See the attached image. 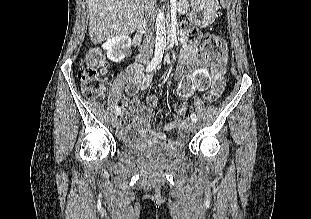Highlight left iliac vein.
<instances>
[{
  "label": "left iliac vein",
  "instance_id": "left-iliac-vein-1",
  "mask_svg": "<svg viewBox=\"0 0 311 219\" xmlns=\"http://www.w3.org/2000/svg\"><path fill=\"white\" fill-rule=\"evenodd\" d=\"M188 127H189V130H190L191 132H195L196 129H197L196 122H194V121L190 122L189 125H188Z\"/></svg>",
  "mask_w": 311,
  "mask_h": 219
}]
</instances>
